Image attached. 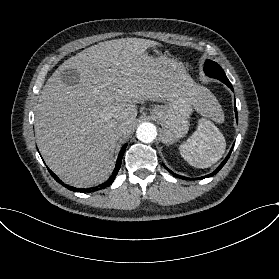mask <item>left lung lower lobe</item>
<instances>
[{"instance_id":"obj_1","label":"left lung lower lobe","mask_w":279,"mask_h":279,"mask_svg":"<svg viewBox=\"0 0 279 279\" xmlns=\"http://www.w3.org/2000/svg\"><path fill=\"white\" fill-rule=\"evenodd\" d=\"M228 87L233 91L232 85H230V86H228ZM235 115H236V119H237V122H238V114H237V109H236V107H235ZM233 147H234V145L232 146V148H231L229 154L227 155V157L225 158V160L220 164V166H219L213 173L208 174V175H206V176H202V177H200L199 179H204V178L211 177V176L215 175L217 172H219L220 169L225 165V163H226L227 160L229 159L230 154H231V152H232V150H233ZM164 167H165L169 172H171V173L173 174V176H175V177H177V178H181V179H184V180H196V179H198V178H196V179H190V178H187V177H184V176H180V175H178V174L173 173V172H172L171 170H169L166 166H164Z\"/></svg>"}]
</instances>
